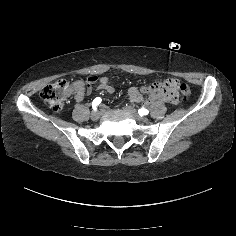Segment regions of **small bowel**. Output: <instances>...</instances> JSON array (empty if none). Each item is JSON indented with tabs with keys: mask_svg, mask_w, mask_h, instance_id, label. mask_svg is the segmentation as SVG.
Instances as JSON below:
<instances>
[{
	"mask_svg": "<svg viewBox=\"0 0 236 236\" xmlns=\"http://www.w3.org/2000/svg\"><path fill=\"white\" fill-rule=\"evenodd\" d=\"M171 84L173 86H176L175 81H172ZM75 85L77 87V101H81L83 99L84 93L90 94L94 90L95 86L99 89H104L109 93H112L114 91L113 87L108 84V80L106 77H101L99 79L96 77H92L86 83L78 81ZM129 96L132 101H138L140 99V94L137 88H131L129 90Z\"/></svg>",
	"mask_w": 236,
	"mask_h": 236,
	"instance_id": "c3829d8e",
	"label": "small bowel"
}]
</instances>
